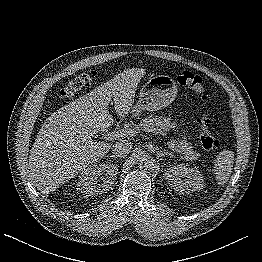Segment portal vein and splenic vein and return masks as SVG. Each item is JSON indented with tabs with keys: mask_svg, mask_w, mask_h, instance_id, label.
Returning a JSON list of instances; mask_svg holds the SVG:
<instances>
[{
	"mask_svg": "<svg viewBox=\"0 0 262 262\" xmlns=\"http://www.w3.org/2000/svg\"><path fill=\"white\" fill-rule=\"evenodd\" d=\"M134 131L131 129H122L119 131H112L109 133L104 134V139L106 140H113L116 138H120V137H124V136H128V135H133ZM173 151L177 152V153H182L181 151L177 150L176 147L173 145L171 148Z\"/></svg>",
	"mask_w": 262,
	"mask_h": 262,
	"instance_id": "obj_1",
	"label": "portal vein and splenic vein"
}]
</instances>
